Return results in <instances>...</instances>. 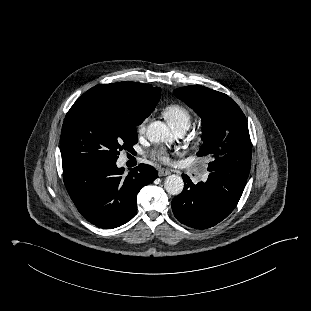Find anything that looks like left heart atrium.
Listing matches in <instances>:
<instances>
[{
    "label": "left heart atrium",
    "instance_id": "obj_1",
    "mask_svg": "<svg viewBox=\"0 0 311 311\" xmlns=\"http://www.w3.org/2000/svg\"><path fill=\"white\" fill-rule=\"evenodd\" d=\"M157 157L163 161H168L169 159L167 152L164 150L157 151Z\"/></svg>",
    "mask_w": 311,
    "mask_h": 311
}]
</instances>
